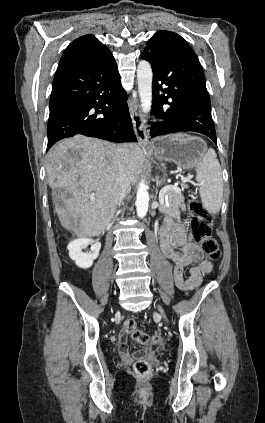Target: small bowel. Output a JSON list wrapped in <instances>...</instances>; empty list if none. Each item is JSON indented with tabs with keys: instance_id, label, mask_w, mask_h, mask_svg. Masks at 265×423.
I'll return each mask as SVG.
<instances>
[{
	"instance_id": "obj_1",
	"label": "small bowel",
	"mask_w": 265,
	"mask_h": 423,
	"mask_svg": "<svg viewBox=\"0 0 265 423\" xmlns=\"http://www.w3.org/2000/svg\"><path fill=\"white\" fill-rule=\"evenodd\" d=\"M160 246L165 257L171 262L173 277L176 286L183 291L197 288L203 276L212 269L211 263L205 259L198 246L191 240L186 228L175 223L172 218L165 217L158 230ZM196 263L189 270L188 278L184 275L185 267ZM118 350L121 356L130 360V354L126 342V333L121 331L118 335Z\"/></svg>"
}]
</instances>
